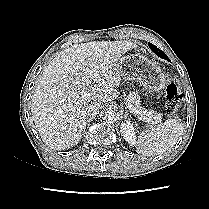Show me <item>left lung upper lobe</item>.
Masks as SVG:
<instances>
[{
  "instance_id": "1",
  "label": "left lung upper lobe",
  "mask_w": 209,
  "mask_h": 209,
  "mask_svg": "<svg viewBox=\"0 0 209 209\" xmlns=\"http://www.w3.org/2000/svg\"><path fill=\"white\" fill-rule=\"evenodd\" d=\"M148 45H149V48H150L156 55H158L159 57H161V58H163V59H166V60L170 61L169 58L167 57V55H166L163 51H161L159 48H157L156 46H154V45L151 44V43H148Z\"/></svg>"
}]
</instances>
